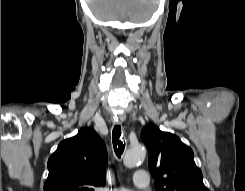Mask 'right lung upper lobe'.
<instances>
[{
	"instance_id": "cb5924a9",
	"label": "right lung upper lobe",
	"mask_w": 245,
	"mask_h": 191,
	"mask_svg": "<svg viewBox=\"0 0 245 191\" xmlns=\"http://www.w3.org/2000/svg\"><path fill=\"white\" fill-rule=\"evenodd\" d=\"M107 152L92 128L63 140L48 160L44 191H94L105 185Z\"/></svg>"
}]
</instances>
